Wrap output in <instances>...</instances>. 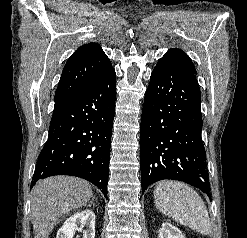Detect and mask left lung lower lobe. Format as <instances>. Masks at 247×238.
Returning <instances> with one entry per match:
<instances>
[{
  "mask_svg": "<svg viewBox=\"0 0 247 238\" xmlns=\"http://www.w3.org/2000/svg\"><path fill=\"white\" fill-rule=\"evenodd\" d=\"M200 105L195 74L160 59L150 77L141 117L142 192L159 180L171 179L210 197Z\"/></svg>",
  "mask_w": 247,
  "mask_h": 238,
  "instance_id": "1",
  "label": "left lung lower lobe"
}]
</instances>
